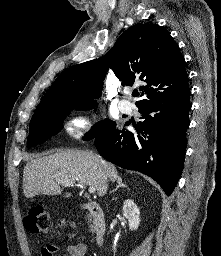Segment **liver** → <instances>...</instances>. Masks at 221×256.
<instances>
[{
  "instance_id": "obj_1",
  "label": "liver",
  "mask_w": 221,
  "mask_h": 256,
  "mask_svg": "<svg viewBox=\"0 0 221 256\" xmlns=\"http://www.w3.org/2000/svg\"><path fill=\"white\" fill-rule=\"evenodd\" d=\"M116 167L89 151L68 150L32 159L23 170V192L26 198L36 195H61L60 181L89 185L103 197L108 181L118 178ZM64 197H71L66 193Z\"/></svg>"
}]
</instances>
